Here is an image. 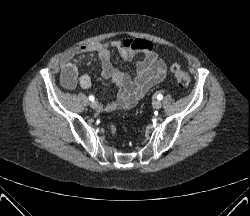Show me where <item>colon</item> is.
I'll return each mask as SVG.
<instances>
[{
    "label": "colon",
    "instance_id": "5ec220e1",
    "mask_svg": "<svg viewBox=\"0 0 250 216\" xmlns=\"http://www.w3.org/2000/svg\"><path fill=\"white\" fill-rule=\"evenodd\" d=\"M171 71L178 83V85L182 88H187L190 84V76L187 72L182 70L178 64H173L171 66ZM111 133L113 135L116 134V127L114 125L110 126Z\"/></svg>",
    "mask_w": 250,
    "mask_h": 216
}]
</instances>
